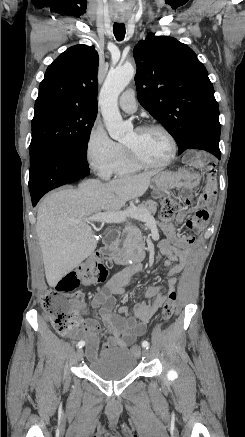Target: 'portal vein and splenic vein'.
Returning a JSON list of instances; mask_svg holds the SVG:
<instances>
[{
  "instance_id": "portal-vein-and-splenic-vein-1",
  "label": "portal vein and splenic vein",
  "mask_w": 245,
  "mask_h": 437,
  "mask_svg": "<svg viewBox=\"0 0 245 437\" xmlns=\"http://www.w3.org/2000/svg\"><path fill=\"white\" fill-rule=\"evenodd\" d=\"M128 217L140 218V220L143 221L146 218L150 217V215L146 214L144 217H139L135 207H132V208H129L127 210L119 211V212H104V213L95 214L91 217L85 218L84 221L85 222L98 221V222H108V223H120V222L127 220ZM75 222L80 223L81 220H76Z\"/></svg>"
}]
</instances>
